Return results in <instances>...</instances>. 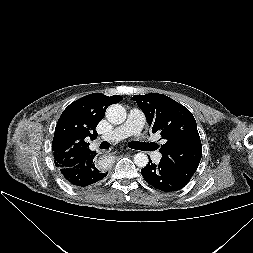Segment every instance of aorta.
<instances>
[{
    "mask_svg": "<svg viewBox=\"0 0 253 253\" xmlns=\"http://www.w3.org/2000/svg\"><path fill=\"white\" fill-rule=\"evenodd\" d=\"M126 110L120 104H112L107 108L106 118L112 124H121L126 120ZM148 157L144 153H137L134 156L136 166L143 168L148 164Z\"/></svg>",
    "mask_w": 253,
    "mask_h": 253,
    "instance_id": "1",
    "label": "aorta"
}]
</instances>
